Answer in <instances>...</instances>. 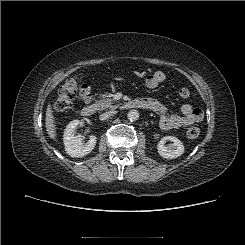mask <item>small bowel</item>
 <instances>
[{"label":"small bowel","mask_w":245,"mask_h":245,"mask_svg":"<svg viewBox=\"0 0 245 245\" xmlns=\"http://www.w3.org/2000/svg\"><path fill=\"white\" fill-rule=\"evenodd\" d=\"M165 80V75L161 71H156L146 78V85L151 89L158 88ZM80 99L89 102L92 99L90 87L85 85L79 94ZM137 101L141 102L143 108L153 110L160 114V128L163 130L177 129L189 126L203 119V110L194 107L191 104H183L181 106V115L169 114L168 108L160 101L151 98H142Z\"/></svg>","instance_id":"small-bowel-1"}]
</instances>
